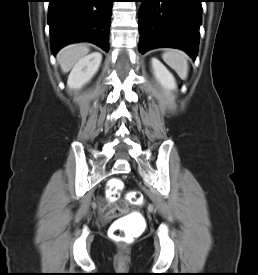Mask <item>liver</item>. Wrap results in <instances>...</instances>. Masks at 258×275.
Here are the masks:
<instances>
[{"instance_id": "1", "label": "liver", "mask_w": 258, "mask_h": 275, "mask_svg": "<svg viewBox=\"0 0 258 275\" xmlns=\"http://www.w3.org/2000/svg\"><path fill=\"white\" fill-rule=\"evenodd\" d=\"M89 48L85 44H72L61 49L57 55V60L61 70L67 73L75 64L89 53Z\"/></svg>"}]
</instances>
